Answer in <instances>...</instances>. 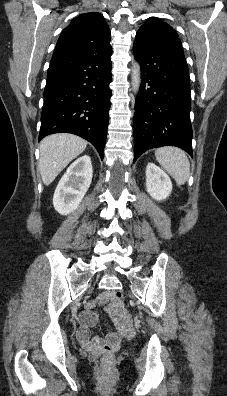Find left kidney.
Wrapping results in <instances>:
<instances>
[{"label":"left kidney","instance_id":"1","mask_svg":"<svg viewBox=\"0 0 227 396\" xmlns=\"http://www.w3.org/2000/svg\"><path fill=\"white\" fill-rule=\"evenodd\" d=\"M146 188L153 199L162 201L170 195L172 182L162 169L153 163H148L146 167Z\"/></svg>","mask_w":227,"mask_h":396}]
</instances>
